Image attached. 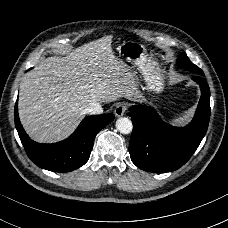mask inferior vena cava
I'll return each instance as SVG.
<instances>
[{
  "label": "inferior vena cava",
  "mask_w": 228,
  "mask_h": 228,
  "mask_svg": "<svg viewBox=\"0 0 228 228\" xmlns=\"http://www.w3.org/2000/svg\"><path fill=\"white\" fill-rule=\"evenodd\" d=\"M85 114H102L103 108L99 103H93L86 109H84Z\"/></svg>",
  "instance_id": "1"
}]
</instances>
